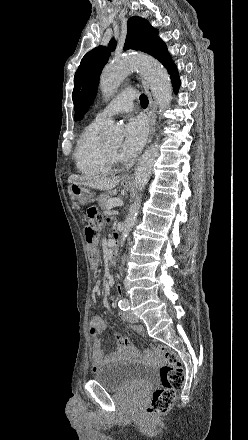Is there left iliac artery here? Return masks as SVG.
<instances>
[{
	"label": "left iliac artery",
	"instance_id": "1",
	"mask_svg": "<svg viewBox=\"0 0 248 440\" xmlns=\"http://www.w3.org/2000/svg\"><path fill=\"white\" fill-rule=\"evenodd\" d=\"M118 306H119V308H120L121 310L126 311V310H129V308H130V303H129V301H128L127 299L123 298V299H120V300H119V302H118Z\"/></svg>",
	"mask_w": 248,
	"mask_h": 440
}]
</instances>
